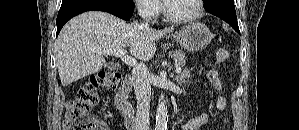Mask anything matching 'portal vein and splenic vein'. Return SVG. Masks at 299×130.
Wrapping results in <instances>:
<instances>
[{"label": "portal vein and splenic vein", "instance_id": "1", "mask_svg": "<svg viewBox=\"0 0 299 130\" xmlns=\"http://www.w3.org/2000/svg\"><path fill=\"white\" fill-rule=\"evenodd\" d=\"M96 52L101 55H112L117 58H120L122 62H124L125 64H127L129 66H135L137 63L133 57L128 56L126 54L127 51L124 49H103V50L98 49V50H96ZM175 72L177 74L181 73V67L177 66Z\"/></svg>", "mask_w": 299, "mask_h": 130}]
</instances>
